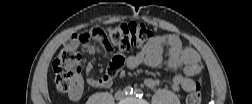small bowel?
I'll return each mask as SVG.
<instances>
[{
    "label": "small bowel",
    "instance_id": "1",
    "mask_svg": "<svg viewBox=\"0 0 252 104\" xmlns=\"http://www.w3.org/2000/svg\"><path fill=\"white\" fill-rule=\"evenodd\" d=\"M167 53L166 67L171 70L183 68V74L175 75L171 86L175 91H189L194 84V78L201 71V59L192 48H183L181 40L173 34L157 35L151 38L137 53L124 58L125 65L134 69L141 64L157 67L163 62V53ZM94 53V49H92ZM91 53V54H92ZM114 58L112 59V61ZM111 61V63H112ZM94 65L89 62L86 65L87 83L94 88H109L113 83V77L105 74L101 77L93 76ZM157 78H145L143 83L149 88L159 85ZM82 92L77 95L68 94L72 101H78Z\"/></svg>",
    "mask_w": 252,
    "mask_h": 104
}]
</instances>
